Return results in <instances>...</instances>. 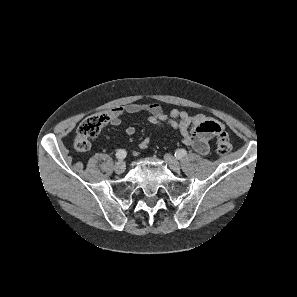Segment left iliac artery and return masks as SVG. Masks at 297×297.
Masks as SVG:
<instances>
[{"mask_svg":"<svg viewBox=\"0 0 297 297\" xmlns=\"http://www.w3.org/2000/svg\"><path fill=\"white\" fill-rule=\"evenodd\" d=\"M186 154H187V151L185 149H179L176 151L175 156L180 159L184 157Z\"/></svg>","mask_w":297,"mask_h":297,"instance_id":"obj_1","label":"left iliac artery"}]
</instances>
